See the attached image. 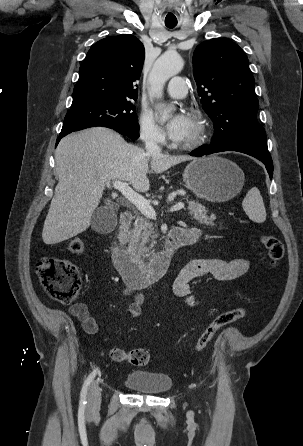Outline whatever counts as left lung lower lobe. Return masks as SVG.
I'll return each instance as SVG.
<instances>
[{
	"label": "left lung lower lobe",
	"mask_w": 303,
	"mask_h": 446,
	"mask_svg": "<svg viewBox=\"0 0 303 446\" xmlns=\"http://www.w3.org/2000/svg\"><path fill=\"white\" fill-rule=\"evenodd\" d=\"M223 151H238L245 154H248L250 156H253L263 162L266 166V169L269 173L270 178H272L273 175V162L271 159V156L269 153H263L259 151H255L252 149L242 148L238 146H226V147H207V148H199L193 151L190 155L192 156H203L208 155L216 152H223Z\"/></svg>",
	"instance_id": "obj_1"
}]
</instances>
